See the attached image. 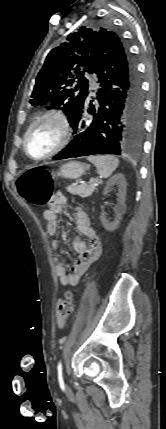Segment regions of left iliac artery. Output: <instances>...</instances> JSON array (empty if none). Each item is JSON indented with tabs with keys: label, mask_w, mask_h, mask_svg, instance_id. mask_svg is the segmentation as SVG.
Returning <instances> with one entry per match:
<instances>
[{
	"label": "left iliac artery",
	"mask_w": 166,
	"mask_h": 429,
	"mask_svg": "<svg viewBox=\"0 0 166 429\" xmlns=\"http://www.w3.org/2000/svg\"><path fill=\"white\" fill-rule=\"evenodd\" d=\"M57 369H58L59 380L62 381L63 377H62V364H61V362L58 363Z\"/></svg>",
	"instance_id": "obj_1"
}]
</instances>
